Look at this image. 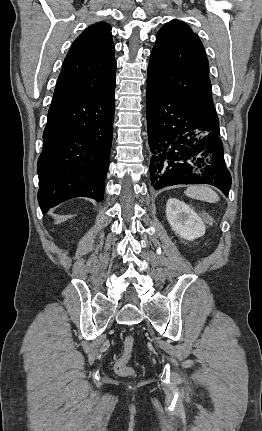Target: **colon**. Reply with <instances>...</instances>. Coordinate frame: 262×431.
<instances>
[{"mask_svg":"<svg viewBox=\"0 0 262 431\" xmlns=\"http://www.w3.org/2000/svg\"><path fill=\"white\" fill-rule=\"evenodd\" d=\"M136 339L132 334L126 336L124 340V352L118 357L115 363V372L120 376H132L133 369L129 366V360L132 356L133 347Z\"/></svg>","mask_w":262,"mask_h":431,"instance_id":"colon-1","label":"colon"}]
</instances>
